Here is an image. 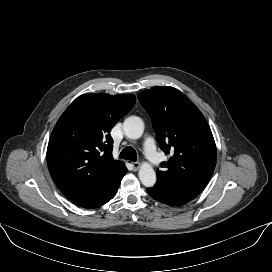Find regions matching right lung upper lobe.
Here are the masks:
<instances>
[{
  "mask_svg": "<svg viewBox=\"0 0 272 272\" xmlns=\"http://www.w3.org/2000/svg\"><path fill=\"white\" fill-rule=\"evenodd\" d=\"M135 100L132 94H83L61 115L49 140L47 163L68 199L95 190L123 164L112 156L110 131Z\"/></svg>",
  "mask_w": 272,
  "mask_h": 272,
  "instance_id": "obj_1",
  "label": "right lung upper lobe"
}]
</instances>
